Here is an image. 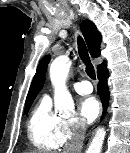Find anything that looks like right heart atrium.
<instances>
[{
  "label": "right heart atrium",
  "instance_id": "obj_1",
  "mask_svg": "<svg viewBox=\"0 0 130 153\" xmlns=\"http://www.w3.org/2000/svg\"><path fill=\"white\" fill-rule=\"evenodd\" d=\"M85 131V124L79 118L63 119L61 123L59 139L61 144H66L78 137Z\"/></svg>",
  "mask_w": 130,
  "mask_h": 153
}]
</instances>
